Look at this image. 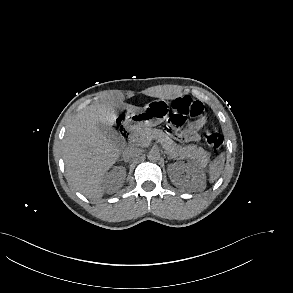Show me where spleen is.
I'll use <instances>...</instances> for the list:
<instances>
[{
    "label": "spleen",
    "mask_w": 293,
    "mask_h": 293,
    "mask_svg": "<svg viewBox=\"0 0 293 293\" xmlns=\"http://www.w3.org/2000/svg\"><path fill=\"white\" fill-rule=\"evenodd\" d=\"M225 156L221 153L217 159L212 161L208 167L209 181L214 182L221 175L224 168Z\"/></svg>",
    "instance_id": "obj_1"
}]
</instances>
